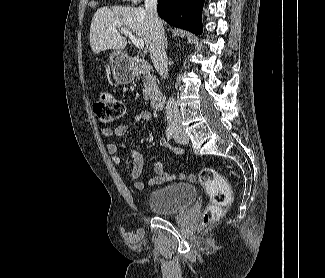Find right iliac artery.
<instances>
[{"instance_id":"82829eb1","label":"right iliac artery","mask_w":325,"mask_h":278,"mask_svg":"<svg viewBox=\"0 0 325 278\" xmlns=\"http://www.w3.org/2000/svg\"><path fill=\"white\" fill-rule=\"evenodd\" d=\"M173 134H174L173 127L172 126L167 127L166 135H167L168 140L172 138Z\"/></svg>"}]
</instances>
